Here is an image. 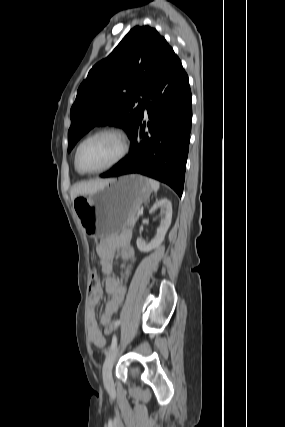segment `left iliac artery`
I'll use <instances>...</instances> for the list:
<instances>
[{
  "label": "left iliac artery",
  "mask_w": 285,
  "mask_h": 427,
  "mask_svg": "<svg viewBox=\"0 0 285 427\" xmlns=\"http://www.w3.org/2000/svg\"><path fill=\"white\" fill-rule=\"evenodd\" d=\"M117 324L119 325L120 321H118ZM116 344H117V337L113 336L112 343H111V346H110V350L113 349L116 346Z\"/></svg>",
  "instance_id": "44dca946"
}]
</instances>
